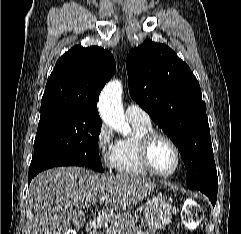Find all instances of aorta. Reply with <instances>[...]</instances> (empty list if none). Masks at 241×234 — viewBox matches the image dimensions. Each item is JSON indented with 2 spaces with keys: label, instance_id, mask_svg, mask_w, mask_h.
<instances>
[{
  "label": "aorta",
  "instance_id": "1",
  "mask_svg": "<svg viewBox=\"0 0 241 234\" xmlns=\"http://www.w3.org/2000/svg\"><path fill=\"white\" fill-rule=\"evenodd\" d=\"M98 109L102 120L109 127L123 136L131 133L122 107V84L120 81L113 80L106 84L99 97Z\"/></svg>",
  "mask_w": 241,
  "mask_h": 234
}]
</instances>
